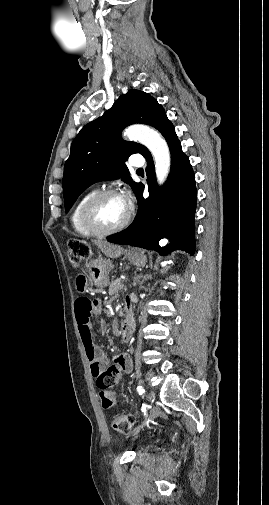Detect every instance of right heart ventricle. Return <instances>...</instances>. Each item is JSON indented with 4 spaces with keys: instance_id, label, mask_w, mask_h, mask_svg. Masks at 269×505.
<instances>
[{
    "instance_id": "obj_1",
    "label": "right heart ventricle",
    "mask_w": 269,
    "mask_h": 505,
    "mask_svg": "<svg viewBox=\"0 0 269 505\" xmlns=\"http://www.w3.org/2000/svg\"><path fill=\"white\" fill-rule=\"evenodd\" d=\"M95 193L94 190H91L85 193L74 205L71 214H70V223L74 232L82 237H91L94 236L92 232H90L82 223L81 220V210L85 202Z\"/></svg>"
}]
</instances>
